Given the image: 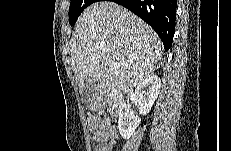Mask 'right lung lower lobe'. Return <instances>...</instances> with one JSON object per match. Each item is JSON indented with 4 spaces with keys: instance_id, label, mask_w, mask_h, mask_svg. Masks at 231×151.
Returning <instances> with one entry per match:
<instances>
[{
    "instance_id": "right-lung-lower-lobe-1",
    "label": "right lung lower lobe",
    "mask_w": 231,
    "mask_h": 151,
    "mask_svg": "<svg viewBox=\"0 0 231 151\" xmlns=\"http://www.w3.org/2000/svg\"><path fill=\"white\" fill-rule=\"evenodd\" d=\"M113 2L124 6L148 23L162 40L165 50L172 46L176 0H113Z\"/></svg>"
}]
</instances>
